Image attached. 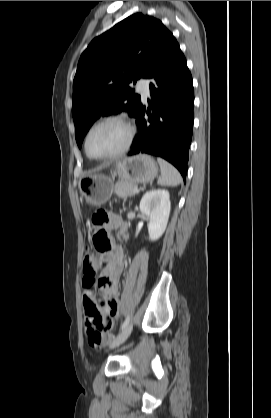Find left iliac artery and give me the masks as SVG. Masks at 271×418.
<instances>
[{"mask_svg":"<svg viewBox=\"0 0 271 418\" xmlns=\"http://www.w3.org/2000/svg\"><path fill=\"white\" fill-rule=\"evenodd\" d=\"M130 321V317L128 316L125 321L122 323L120 330H123L127 327V325L129 324Z\"/></svg>","mask_w":271,"mask_h":418,"instance_id":"44dca946","label":"left iliac artery"}]
</instances>
